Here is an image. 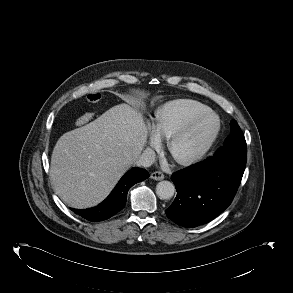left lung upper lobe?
Here are the masks:
<instances>
[{"label":"left lung upper lobe","instance_id":"left-lung-upper-lobe-1","mask_svg":"<svg viewBox=\"0 0 293 293\" xmlns=\"http://www.w3.org/2000/svg\"><path fill=\"white\" fill-rule=\"evenodd\" d=\"M246 148L244 135L237 124L236 120L231 122V134L226 138L224 146L219 148L214 156L223 154L224 152H232L235 149Z\"/></svg>","mask_w":293,"mask_h":293}]
</instances>
